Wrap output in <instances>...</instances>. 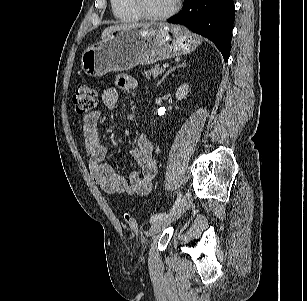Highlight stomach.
Instances as JSON below:
<instances>
[{
  "mask_svg": "<svg viewBox=\"0 0 307 301\" xmlns=\"http://www.w3.org/2000/svg\"><path fill=\"white\" fill-rule=\"evenodd\" d=\"M200 43V37L180 25L151 23L119 29L86 48L81 68L88 76L101 77L112 71H125L190 53Z\"/></svg>",
  "mask_w": 307,
  "mask_h": 301,
  "instance_id": "stomach-1",
  "label": "stomach"
}]
</instances>
